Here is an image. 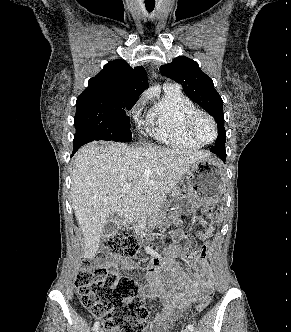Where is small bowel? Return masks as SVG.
Wrapping results in <instances>:
<instances>
[{"instance_id": "1", "label": "small bowel", "mask_w": 291, "mask_h": 332, "mask_svg": "<svg viewBox=\"0 0 291 332\" xmlns=\"http://www.w3.org/2000/svg\"><path fill=\"white\" fill-rule=\"evenodd\" d=\"M176 224L179 219H174ZM202 223V221H199ZM215 227L213 228V232ZM202 231L198 236L202 238ZM174 243L166 248L165 255H158L151 247L147 252L153 256L146 267H139L134 261L123 259L110 263V266L120 271H135L141 269L147 278L148 287L143 290L144 299H156L160 311L155 315L150 332H169L174 319V311L184 309L191 302L198 300L202 294L211 291L212 282L208 277L209 269L206 261L207 245L196 250H186L187 238L181 228L174 232ZM176 258H187L193 263L197 272L194 277L185 274Z\"/></svg>"}]
</instances>
